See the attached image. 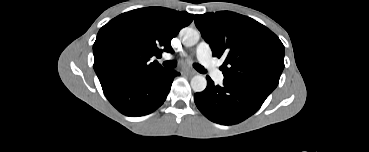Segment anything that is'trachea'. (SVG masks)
I'll list each match as a JSON object with an SVG mask.
<instances>
[{
  "mask_svg": "<svg viewBox=\"0 0 369 152\" xmlns=\"http://www.w3.org/2000/svg\"><path fill=\"white\" fill-rule=\"evenodd\" d=\"M164 67L166 68H175L177 66L176 61H165L163 62ZM193 67L200 73H206V70L204 69L203 66H201L198 63H194Z\"/></svg>",
  "mask_w": 369,
  "mask_h": 152,
  "instance_id": "trachea-1",
  "label": "trachea"
}]
</instances>
